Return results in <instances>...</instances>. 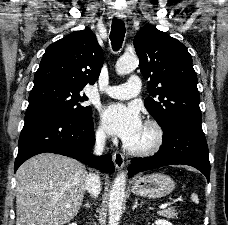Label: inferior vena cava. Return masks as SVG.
Masks as SVG:
<instances>
[{
  "label": "inferior vena cava",
  "instance_id": "1",
  "mask_svg": "<svg viewBox=\"0 0 228 225\" xmlns=\"http://www.w3.org/2000/svg\"><path fill=\"white\" fill-rule=\"evenodd\" d=\"M105 141V133H103V131H98V133H96V143L94 147L95 155H102L105 147ZM100 187L99 175H95V173H89L85 181V189L87 193H90L91 197H97L101 191Z\"/></svg>",
  "mask_w": 228,
  "mask_h": 225
}]
</instances>
